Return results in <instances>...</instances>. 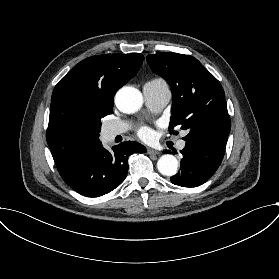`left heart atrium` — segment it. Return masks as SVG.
I'll use <instances>...</instances> for the list:
<instances>
[{
  "label": "left heart atrium",
  "mask_w": 279,
  "mask_h": 279,
  "mask_svg": "<svg viewBox=\"0 0 279 279\" xmlns=\"http://www.w3.org/2000/svg\"><path fill=\"white\" fill-rule=\"evenodd\" d=\"M138 135L142 139H148L151 135V130L147 126H142L138 130Z\"/></svg>",
  "instance_id": "39dd6f15"
}]
</instances>
